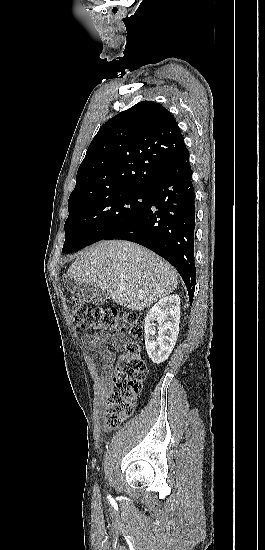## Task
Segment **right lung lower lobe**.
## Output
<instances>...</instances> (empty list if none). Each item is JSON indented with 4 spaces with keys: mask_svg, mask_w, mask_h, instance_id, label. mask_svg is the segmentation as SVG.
<instances>
[{
    "mask_svg": "<svg viewBox=\"0 0 265 550\" xmlns=\"http://www.w3.org/2000/svg\"><path fill=\"white\" fill-rule=\"evenodd\" d=\"M194 198L186 150L151 183L145 209L104 238L132 241L165 258L184 280L191 303L196 283Z\"/></svg>",
    "mask_w": 265,
    "mask_h": 550,
    "instance_id": "1",
    "label": "right lung lower lobe"
}]
</instances>
